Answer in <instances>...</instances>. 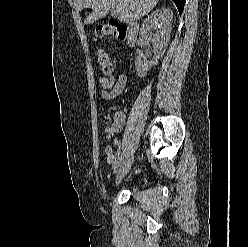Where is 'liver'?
Listing matches in <instances>:
<instances>
[{"instance_id":"1","label":"liver","mask_w":248,"mask_h":247,"mask_svg":"<svg viewBox=\"0 0 248 247\" xmlns=\"http://www.w3.org/2000/svg\"><path fill=\"white\" fill-rule=\"evenodd\" d=\"M159 0H74L78 11L91 8L85 23L91 24L105 17L110 11L117 13L123 22H132L148 14Z\"/></svg>"}]
</instances>
